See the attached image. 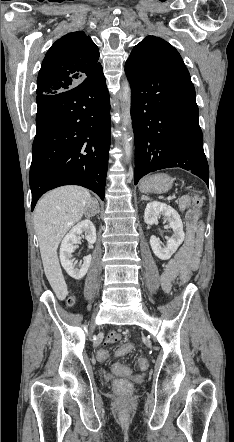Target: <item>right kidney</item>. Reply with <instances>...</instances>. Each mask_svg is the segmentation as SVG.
I'll return each mask as SVG.
<instances>
[{"label": "right kidney", "instance_id": "ca27d5eb", "mask_svg": "<svg viewBox=\"0 0 234 442\" xmlns=\"http://www.w3.org/2000/svg\"><path fill=\"white\" fill-rule=\"evenodd\" d=\"M83 232L86 233L85 238L89 244H94L96 242V228L89 219H85L72 227L62 240L60 246V261L62 267L66 270L69 276L75 280H80L86 275L91 263V255L85 256L83 258V263L79 267L75 266L76 262L72 259V253L78 247L77 243Z\"/></svg>", "mask_w": 234, "mask_h": 442}]
</instances>
